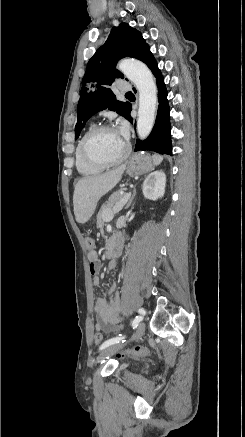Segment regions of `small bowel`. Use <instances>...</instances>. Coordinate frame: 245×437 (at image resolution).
Listing matches in <instances>:
<instances>
[{"instance_id":"c3829d8e","label":"small bowel","mask_w":245,"mask_h":437,"mask_svg":"<svg viewBox=\"0 0 245 437\" xmlns=\"http://www.w3.org/2000/svg\"><path fill=\"white\" fill-rule=\"evenodd\" d=\"M90 272L93 276V283L98 285L100 283V263L98 260H95L94 269L90 268ZM116 291V284L111 285L109 289L110 303L104 297H100L96 300L94 306L97 328L107 333L117 330L121 320V307Z\"/></svg>"}]
</instances>
